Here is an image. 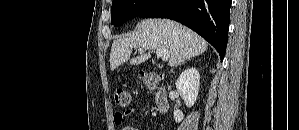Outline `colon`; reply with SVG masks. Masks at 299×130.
Instances as JSON below:
<instances>
[{"instance_id": "colon-1", "label": "colon", "mask_w": 299, "mask_h": 130, "mask_svg": "<svg viewBox=\"0 0 299 130\" xmlns=\"http://www.w3.org/2000/svg\"><path fill=\"white\" fill-rule=\"evenodd\" d=\"M141 77L144 84L149 88L156 87L162 80V76L154 72L142 73ZM114 97L117 106L120 108H127L129 106L131 99L129 93L125 89L118 88L115 91Z\"/></svg>"}]
</instances>
